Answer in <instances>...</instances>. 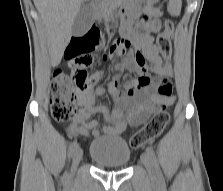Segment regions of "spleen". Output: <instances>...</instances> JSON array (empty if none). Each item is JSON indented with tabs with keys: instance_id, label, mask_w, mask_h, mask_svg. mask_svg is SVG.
Segmentation results:
<instances>
[{
	"instance_id": "obj_1",
	"label": "spleen",
	"mask_w": 223,
	"mask_h": 191,
	"mask_svg": "<svg viewBox=\"0 0 223 191\" xmlns=\"http://www.w3.org/2000/svg\"><path fill=\"white\" fill-rule=\"evenodd\" d=\"M181 4V0H169V12L174 16H178L181 11Z\"/></svg>"
}]
</instances>
